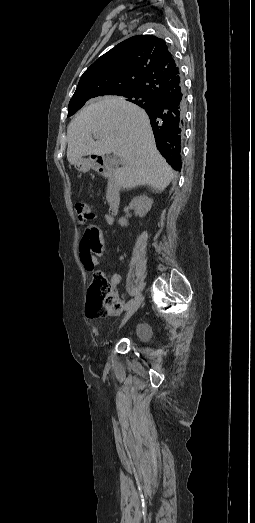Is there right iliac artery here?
Here are the masks:
<instances>
[{"instance_id": "obj_1", "label": "right iliac artery", "mask_w": 255, "mask_h": 523, "mask_svg": "<svg viewBox=\"0 0 255 523\" xmlns=\"http://www.w3.org/2000/svg\"><path fill=\"white\" fill-rule=\"evenodd\" d=\"M133 300H129L125 305V310H128L132 304Z\"/></svg>"}]
</instances>
